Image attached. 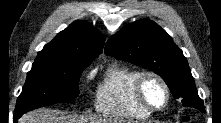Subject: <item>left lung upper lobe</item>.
<instances>
[{
  "label": "left lung upper lobe",
  "mask_w": 221,
  "mask_h": 123,
  "mask_svg": "<svg viewBox=\"0 0 221 123\" xmlns=\"http://www.w3.org/2000/svg\"><path fill=\"white\" fill-rule=\"evenodd\" d=\"M105 54L153 71L184 106L203 111L187 59L155 22L142 19L125 26L107 41Z\"/></svg>",
  "instance_id": "obj_1"
}]
</instances>
